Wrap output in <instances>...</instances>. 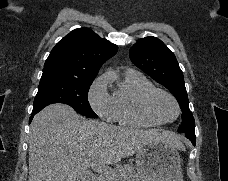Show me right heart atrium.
<instances>
[{
  "instance_id": "1",
  "label": "right heart atrium",
  "mask_w": 228,
  "mask_h": 181,
  "mask_svg": "<svg viewBox=\"0 0 228 181\" xmlns=\"http://www.w3.org/2000/svg\"><path fill=\"white\" fill-rule=\"evenodd\" d=\"M104 84V79L102 78L96 81L95 86L90 91L89 100L99 117L110 121L113 119V102Z\"/></svg>"
}]
</instances>
